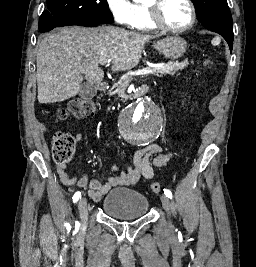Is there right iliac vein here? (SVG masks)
Wrapping results in <instances>:
<instances>
[{
  "mask_svg": "<svg viewBox=\"0 0 256 267\" xmlns=\"http://www.w3.org/2000/svg\"><path fill=\"white\" fill-rule=\"evenodd\" d=\"M79 214L82 220V223L85 224L88 219V208L87 201L85 198H82L78 204Z\"/></svg>",
  "mask_w": 256,
  "mask_h": 267,
  "instance_id": "1",
  "label": "right iliac vein"
}]
</instances>
